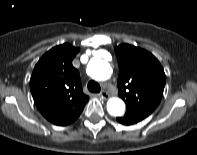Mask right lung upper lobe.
Wrapping results in <instances>:
<instances>
[{
  "instance_id": "cb5924a9",
  "label": "right lung upper lobe",
  "mask_w": 197,
  "mask_h": 155,
  "mask_svg": "<svg viewBox=\"0 0 197 155\" xmlns=\"http://www.w3.org/2000/svg\"><path fill=\"white\" fill-rule=\"evenodd\" d=\"M79 52L68 43L49 50L35 65L30 89L41 114L55 125L65 126L81 114L89 97L81 87L72 60Z\"/></svg>"
}]
</instances>
